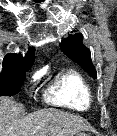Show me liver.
<instances>
[{
    "label": "liver",
    "mask_w": 117,
    "mask_h": 136,
    "mask_svg": "<svg viewBox=\"0 0 117 136\" xmlns=\"http://www.w3.org/2000/svg\"><path fill=\"white\" fill-rule=\"evenodd\" d=\"M88 130L81 117L58 109L24 115V107L12 98L0 97V136H73Z\"/></svg>",
    "instance_id": "6515ba94"
}]
</instances>
